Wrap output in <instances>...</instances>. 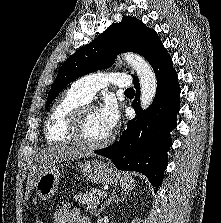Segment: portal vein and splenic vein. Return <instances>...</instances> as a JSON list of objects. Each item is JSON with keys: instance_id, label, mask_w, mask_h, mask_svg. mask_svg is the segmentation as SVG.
Wrapping results in <instances>:
<instances>
[{"instance_id": "1", "label": "portal vein and splenic vein", "mask_w": 221, "mask_h": 223, "mask_svg": "<svg viewBox=\"0 0 221 223\" xmlns=\"http://www.w3.org/2000/svg\"><path fill=\"white\" fill-rule=\"evenodd\" d=\"M103 195H106V192H105V191H103V192L101 193V196H103Z\"/></svg>"}]
</instances>
